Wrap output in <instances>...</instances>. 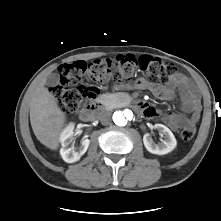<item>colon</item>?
I'll use <instances>...</instances> for the list:
<instances>
[{
	"instance_id": "1",
	"label": "colon",
	"mask_w": 221,
	"mask_h": 221,
	"mask_svg": "<svg viewBox=\"0 0 221 221\" xmlns=\"http://www.w3.org/2000/svg\"><path fill=\"white\" fill-rule=\"evenodd\" d=\"M144 71L150 84L160 86L168 84L172 78L180 75L179 69L172 63L151 56L139 59L130 56L98 59L91 63L74 61L64 64L58 71V82L51 89L59 107L66 113H74L87 106L96 95L95 84L112 77L116 80ZM195 125L183 128L181 138L191 140L195 135Z\"/></svg>"
}]
</instances>
